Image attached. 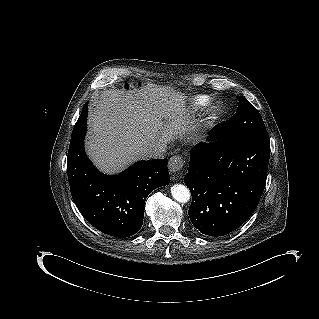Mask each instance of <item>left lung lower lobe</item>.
Segmentation results:
<instances>
[{"label": "left lung lower lobe", "mask_w": 319, "mask_h": 319, "mask_svg": "<svg viewBox=\"0 0 319 319\" xmlns=\"http://www.w3.org/2000/svg\"><path fill=\"white\" fill-rule=\"evenodd\" d=\"M222 123L211 129L216 141L199 143L190 154L184 183L192 194L188 214L207 236H224L240 227L258 205L270 157L268 138L221 139Z\"/></svg>", "instance_id": "obj_1"}]
</instances>
